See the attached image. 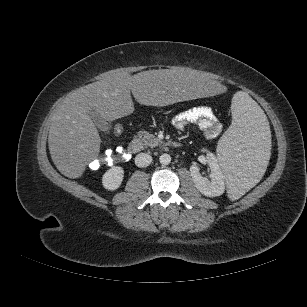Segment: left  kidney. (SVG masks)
Here are the masks:
<instances>
[{"label":"left kidney","mask_w":307,"mask_h":307,"mask_svg":"<svg viewBox=\"0 0 307 307\" xmlns=\"http://www.w3.org/2000/svg\"><path fill=\"white\" fill-rule=\"evenodd\" d=\"M206 161L210 167V180L206 177H203L199 170L200 168L197 165H192L190 167V174L195 183L196 188L205 196L216 197L220 196L225 191V176L221 167L218 164V161L215 155L207 150Z\"/></svg>","instance_id":"left-kidney-1"}]
</instances>
